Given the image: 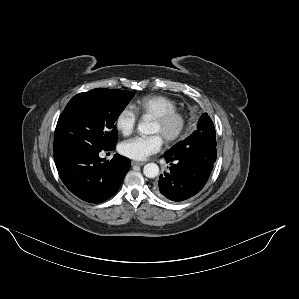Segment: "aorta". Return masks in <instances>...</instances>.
I'll return each mask as SVG.
<instances>
[{"label": "aorta", "mask_w": 299, "mask_h": 299, "mask_svg": "<svg viewBox=\"0 0 299 299\" xmlns=\"http://www.w3.org/2000/svg\"><path fill=\"white\" fill-rule=\"evenodd\" d=\"M138 132L141 134H153L155 132V128L153 124L149 121H142L138 124ZM143 173L148 178H155L159 174V167L155 163H148L143 168Z\"/></svg>", "instance_id": "obj_1"}]
</instances>
